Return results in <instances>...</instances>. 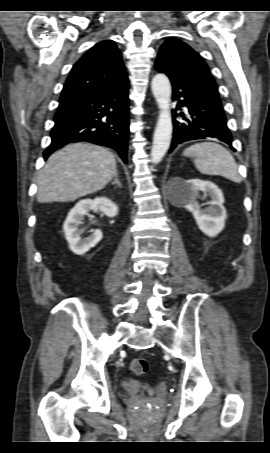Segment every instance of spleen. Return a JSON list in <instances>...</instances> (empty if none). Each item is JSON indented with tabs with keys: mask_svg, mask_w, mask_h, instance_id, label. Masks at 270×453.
<instances>
[{
	"mask_svg": "<svg viewBox=\"0 0 270 453\" xmlns=\"http://www.w3.org/2000/svg\"><path fill=\"white\" fill-rule=\"evenodd\" d=\"M186 157L193 158L197 170L206 175H221L233 182L242 181L238 167L231 153L222 145L214 142H202L188 147Z\"/></svg>",
	"mask_w": 270,
	"mask_h": 453,
	"instance_id": "obj_1",
	"label": "spleen"
}]
</instances>
